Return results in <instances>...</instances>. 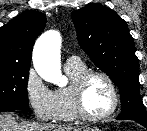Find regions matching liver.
<instances>
[{"label":"liver","instance_id":"6515ba94","mask_svg":"<svg viewBox=\"0 0 147 131\" xmlns=\"http://www.w3.org/2000/svg\"><path fill=\"white\" fill-rule=\"evenodd\" d=\"M82 127L16 122L10 113H0V131H81Z\"/></svg>","mask_w":147,"mask_h":131}]
</instances>
